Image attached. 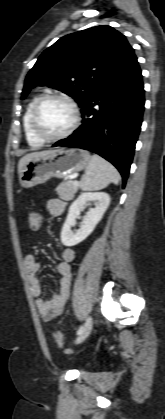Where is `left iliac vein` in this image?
<instances>
[{
	"label": "left iliac vein",
	"mask_w": 165,
	"mask_h": 419,
	"mask_svg": "<svg viewBox=\"0 0 165 419\" xmlns=\"http://www.w3.org/2000/svg\"><path fill=\"white\" fill-rule=\"evenodd\" d=\"M92 327H93V319L91 316H89L83 326L82 333L76 338L74 343L80 344L81 342H83L89 336L92 330Z\"/></svg>",
	"instance_id": "1"
}]
</instances>
